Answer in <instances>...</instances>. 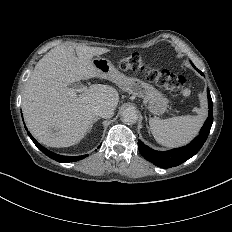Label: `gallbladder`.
I'll use <instances>...</instances> for the list:
<instances>
[{
    "label": "gallbladder",
    "instance_id": "gallbladder-1",
    "mask_svg": "<svg viewBox=\"0 0 232 232\" xmlns=\"http://www.w3.org/2000/svg\"><path fill=\"white\" fill-rule=\"evenodd\" d=\"M81 87V82L80 81H75L71 83V88L72 89H77Z\"/></svg>",
    "mask_w": 232,
    "mask_h": 232
}]
</instances>
